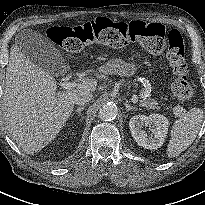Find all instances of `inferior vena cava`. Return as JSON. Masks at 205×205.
<instances>
[{
    "mask_svg": "<svg viewBox=\"0 0 205 205\" xmlns=\"http://www.w3.org/2000/svg\"><path fill=\"white\" fill-rule=\"evenodd\" d=\"M93 95L90 91H83L76 95L75 97V104L77 105H84L87 104L91 99Z\"/></svg>",
    "mask_w": 205,
    "mask_h": 205,
    "instance_id": "inferior-vena-cava-1",
    "label": "inferior vena cava"
}]
</instances>
